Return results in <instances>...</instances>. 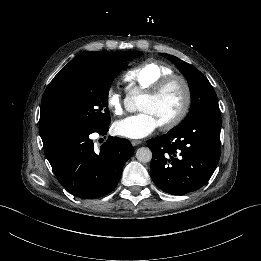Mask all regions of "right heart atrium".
<instances>
[{"instance_id": "right-heart-atrium-1", "label": "right heart atrium", "mask_w": 261, "mask_h": 261, "mask_svg": "<svg viewBox=\"0 0 261 261\" xmlns=\"http://www.w3.org/2000/svg\"><path fill=\"white\" fill-rule=\"evenodd\" d=\"M106 105L117 116L125 114L126 102L123 94L114 88L109 89L106 94Z\"/></svg>"}]
</instances>
